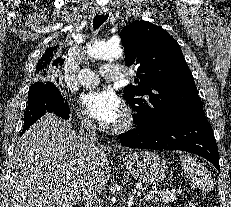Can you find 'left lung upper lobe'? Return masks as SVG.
Returning a JSON list of instances; mask_svg holds the SVG:
<instances>
[{"mask_svg": "<svg viewBox=\"0 0 231 207\" xmlns=\"http://www.w3.org/2000/svg\"><path fill=\"white\" fill-rule=\"evenodd\" d=\"M125 62L137 69V85L124 89L137 126L155 129L181 113L203 109L192 73L176 40L162 28L134 21L121 31Z\"/></svg>", "mask_w": 231, "mask_h": 207, "instance_id": "5c2ea615", "label": "left lung upper lobe"}]
</instances>
